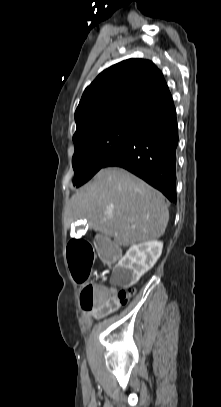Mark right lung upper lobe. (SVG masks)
Masks as SVG:
<instances>
[{
    "label": "right lung upper lobe",
    "mask_w": 221,
    "mask_h": 407,
    "mask_svg": "<svg viewBox=\"0 0 221 407\" xmlns=\"http://www.w3.org/2000/svg\"><path fill=\"white\" fill-rule=\"evenodd\" d=\"M171 99L162 72L151 61L124 60L104 70L85 89L75 112L73 141L108 126L138 124Z\"/></svg>",
    "instance_id": "cb5924a9"
}]
</instances>
